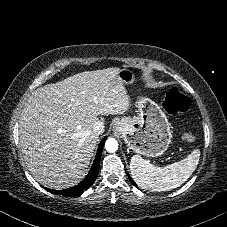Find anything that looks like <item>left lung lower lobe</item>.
Wrapping results in <instances>:
<instances>
[{"label":"left lung lower lobe","instance_id":"obj_1","mask_svg":"<svg viewBox=\"0 0 227 227\" xmlns=\"http://www.w3.org/2000/svg\"><path fill=\"white\" fill-rule=\"evenodd\" d=\"M129 179H130V181H131L134 185H136V184L133 182V180L131 179V177H129Z\"/></svg>","mask_w":227,"mask_h":227}]
</instances>
